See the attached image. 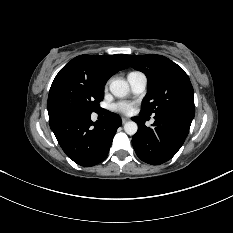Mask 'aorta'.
I'll return each mask as SVG.
<instances>
[{"label": "aorta", "mask_w": 233, "mask_h": 233, "mask_svg": "<svg viewBox=\"0 0 233 233\" xmlns=\"http://www.w3.org/2000/svg\"><path fill=\"white\" fill-rule=\"evenodd\" d=\"M109 89L111 93L118 98L127 96L130 91L129 85L122 79H115L110 83ZM124 130L128 135H134L138 130V125L134 121L126 122Z\"/></svg>", "instance_id": "aorta-1"}]
</instances>
